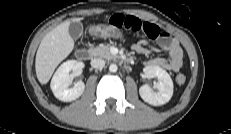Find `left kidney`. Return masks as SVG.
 I'll return each instance as SVG.
<instances>
[{"mask_svg":"<svg viewBox=\"0 0 231 134\" xmlns=\"http://www.w3.org/2000/svg\"><path fill=\"white\" fill-rule=\"evenodd\" d=\"M143 73L147 78L157 77L158 82L154 84L157 92H154L147 84L142 85L139 89L141 98L153 106H160L169 102L173 95V81L170 75L161 67L154 65L146 66Z\"/></svg>","mask_w":231,"mask_h":134,"instance_id":"1","label":"left kidney"}]
</instances>
